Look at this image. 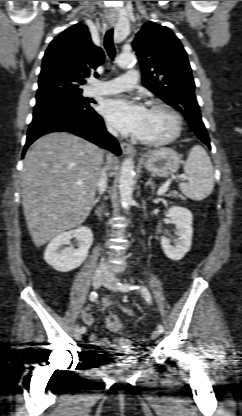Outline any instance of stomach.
I'll use <instances>...</instances> for the list:
<instances>
[{"label": "stomach", "mask_w": 242, "mask_h": 416, "mask_svg": "<svg viewBox=\"0 0 242 416\" xmlns=\"http://www.w3.org/2000/svg\"><path fill=\"white\" fill-rule=\"evenodd\" d=\"M179 154L167 147L150 151L143 158L145 169L159 177H168L175 173L180 166Z\"/></svg>", "instance_id": "stomach-1"}]
</instances>
